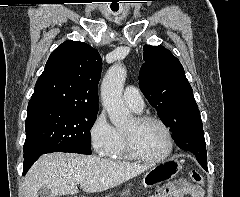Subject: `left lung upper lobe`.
Wrapping results in <instances>:
<instances>
[{
	"label": "left lung upper lobe",
	"mask_w": 240,
	"mask_h": 197,
	"mask_svg": "<svg viewBox=\"0 0 240 197\" xmlns=\"http://www.w3.org/2000/svg\"><path fill=\"white\" fill-rule=\"evenodd\" d=\"M139 86L162 122L170 127L174 139L181 129L198 126L197 138L183 141L182 149L207 158L203 125L183 66L165 47L144 45ZM176 142V141H175ZM179 145V144H177Z\"/></svg>",
	"instance_id": "obj_1"
}]
</instances>
